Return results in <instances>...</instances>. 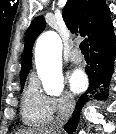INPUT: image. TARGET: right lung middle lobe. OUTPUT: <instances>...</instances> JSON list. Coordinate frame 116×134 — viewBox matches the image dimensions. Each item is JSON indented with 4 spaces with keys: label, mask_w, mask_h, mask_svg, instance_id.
Instances as JSON below:
<instances>
[{
    "label": "right lung middle lobe",
    "mask_w": 116,
    "mask_h": 134,
    "mask_svg": "<svg viewBox=\"0 0 116 134\" xmlns=\"http://www.w3.org/2000/svg\"><path fill=\"white\" fill-rule=\"evenodd\" d=\"M25 79H26V78H21V81H20V83H21V87H23V86H24Z\"/></svg>",
    "instance_id": "1"
}]
</instances>
